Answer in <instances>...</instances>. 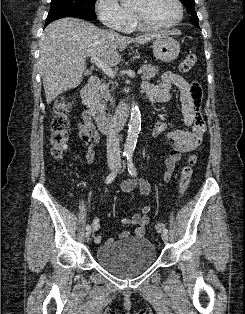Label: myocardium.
<instances>
[{"label":"myocardium","instance_id":"obj_1","mask_svg":"<svg viewBox=\"0 0 245 314\" xmlns=\"http://www.w3.org/2000/svg\"><path fill=\"white\" fill-rule=\"evenodd\" d=\"M178 7V17L169 23H154L142 18L134 9L131 8L132 19L135 25L145 29H163L176 26L184 16V7L181 0H174Z\"/></svg>","mask_w":245,"mask_h":314}]
</instances>
